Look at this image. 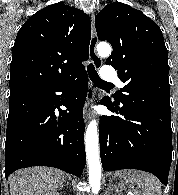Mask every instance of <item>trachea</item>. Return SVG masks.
I'll return each instance as SVG.
<instances>
[{
    "label": "trachea",
    "instance_id": "1",
    "mask_svg": "<svg viewBox=\"0 0 178 195\" xmlns=\"http://www.w3.org/2000/svg\"><path fill=\"white\" fill-rule=\"evenodd\" d=\"M87 72H88V75H89L90 79H91L96 85H98V86H100V87H105V88H107V87L112 88V87H113V85L107 84L105 81H103V80L99 77V75H98L97 71L95 70V68H94V66H93L92 63H90V64L87 66Z\"/></svg>",
    "mask_w": 178,
    "mask_h": 195
}]
</instances>
